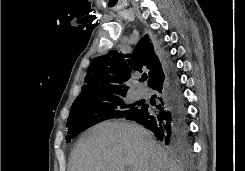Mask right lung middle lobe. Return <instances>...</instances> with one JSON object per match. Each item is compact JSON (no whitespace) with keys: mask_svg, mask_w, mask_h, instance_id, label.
<instances>
[{"mask_svg":"<svg viewBox=\"0 0 245 171\" xmlns=\"http://www.w3.org/2000/svg\"><path fill=\"white\" fill-rule=\"evenodd\" d=\"M125 97L126 94H119L100 99L74 101L67 121V142L99 122L113 118L131 120L136 117L141 107L126 104Z\"/></svg>","mask_w":245,"mask_h":171,"instance_id":"1","label":"right lung middle lobe"}]
</instances>
